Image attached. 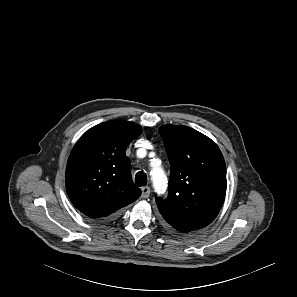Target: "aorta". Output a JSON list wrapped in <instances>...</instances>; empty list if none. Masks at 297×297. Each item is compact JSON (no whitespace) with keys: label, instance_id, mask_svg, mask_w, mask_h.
<instances>
[{"label":"aorta","instance_id":"1","mask_svg":"<svg viewBox=\"0 0 297 297\" xmlns=\"http://www.w3.org/2000/svg\"><path fill=\"white\" fill-rule=\"evenodd\" d=\"M153 187L157 193H163L167 187V177L161 167H155L150 172Z\"/></svg>","mask_w":297,"mask_h":297}]
</instances>
